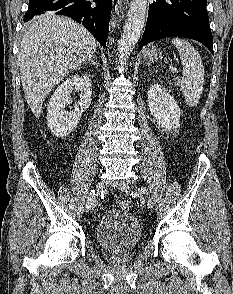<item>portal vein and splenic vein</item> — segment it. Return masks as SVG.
<instances>
[{
  "label": "portal vein and splenic vein",
  "mask_w": 233,
  "mask_h": 294,
  "mask_svg": "<svg viewBox=\"0 0 233 294\" xmlns=\"http://www.w3.org/2000/svg\"><path fill=\"white\" fill-rule=\"evenodd\" d=\"M170 69H171L172 72H176L177 71V68H175L174 66H171Z\"/></svg>",
  "instance_id": "obj_1"
}]
</instances>
